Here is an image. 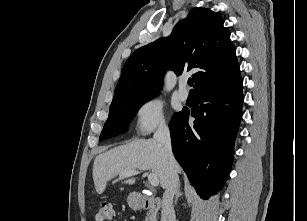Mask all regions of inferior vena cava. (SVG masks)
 Wrapping results in <instances>:
<instances>
[{
  "label": "inferior vena cava",
  "instance_id": "obj_1",
  "mask_svg": "<svg viewBox=\"0 0 307 221\" xmlns=\"http://www.w3.org/2000/svg\"><path fill=\"white\" fill-rule=\"evenodd\" d=\"M154 140L162 147L168 162V184L163 195L161 221H176L173 197L179 186V176L177 171L178 163L172 153L169 128L160 126L154 134Z\"/></svg>",
  "mask_w": 307,
  "mask_h": 221
}]
</instances>
